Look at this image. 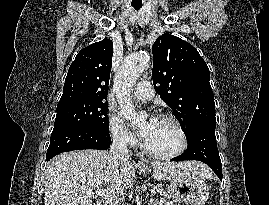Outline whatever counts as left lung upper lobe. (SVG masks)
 I'll list each match as a JSON object with an SVG mask.
<instances>
[{
  "label": "left lung upper lobe",
  "mask_w": 269,
  "mask_h": 205,
  "mask_svg": "<svg viewBox=\"0 0 269 205\" xmlns=\"http://www.w3.org/2000/svg\"><path fill=\"white\" fill-rule=\"evenodd\" d=\"M153 84L188 138L203 124H216L209 68L197 49L165 33L152 46Z\"/></svg>",
  "instance_id": "1"
}]
</instances>
